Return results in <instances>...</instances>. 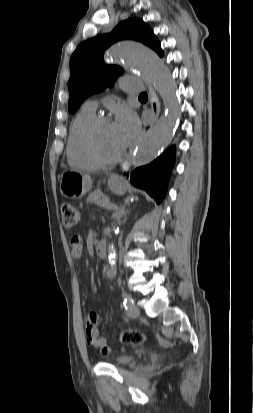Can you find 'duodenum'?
Wrapping results in <instances>:
<instances>
[{
	"label": "duodenum",
	"mask_w": 253,
	"mask_h": 413,
	"mask_svg": "<svg viewBox=\"0 0 253 413\" xmlns=\"http://www.w3.org/2000/svg\"><path fill=\"white\" fill-rule=\"evenodd\" d=\"M95 251L99 257L104 258L107 253L106 242L104 240L99 241L95 246Z\"/></svg>",
	"instance_id": "1"
}]
</instances>
